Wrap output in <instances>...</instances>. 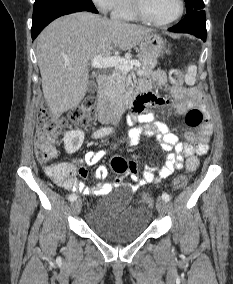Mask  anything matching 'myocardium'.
<instances>
[{
  "label": "myocardium",
  "mask_w": 233,
  "mask_h": 284,
  "mask_svg": "<svg viewBox=\"0 0 233 284\" xmlns=\"http://www.w3.org/2000/svg\"><path fill=\"white\" fill-rule=\"evenodd\" d=\"M132 1V7L135 12V14L138 16L139 19L150 23L155 26H168L170 24H173L177 20L181 18V16L184 13V0H178V11L177 13L170 19L166 21H158L154 18H152L147 11L145 10L143 0H131Z\"/></svg>",
  "instance_id": "myocardium-1"
}]
</instances>
